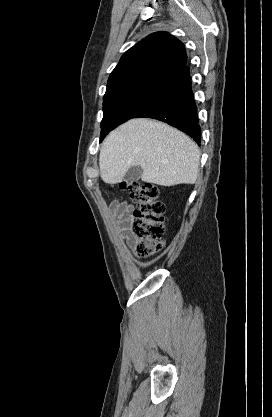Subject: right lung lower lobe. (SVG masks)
<instances>
[{"label": "right lung lower lobe", "mask_w": 272, "mask_h": 417, "mask_svg": "<svg viewBox=\"0 0 272 417\" xmlns=\"http://www.w3.org/2000/svg\"><path fill=\"white\" fill-rule=\"evenodd\" d=\"M147 117L166 122L191 136L198 144L201 129L191 89L189 68L185 67L161 87L134 118Z\"/></svg>", "instance_id": "right-lung-lower-lobe-1"}]
</instances>
